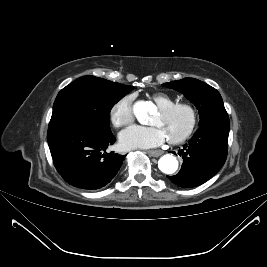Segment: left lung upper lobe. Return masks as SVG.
<instances>
[{
	"label": "left lung upper lobe",
	"mask_w": 267,
	"mask_h": 267,
	"mask_svg": "<svg viewBox=\"0 0 267 267\" xmlns=\"http://www.w3.org/2000/svg\"><path fill=\"white\" fill-rule=\"evenodd\" d=\"M185 95L199 110L200 126L225 122L229 123L219 92L210 85L195 78H184L163 84Z\"/></svg>",
	"instance_id": "1"
}]
</instances>
